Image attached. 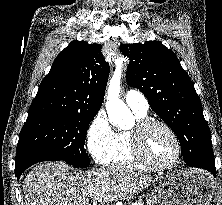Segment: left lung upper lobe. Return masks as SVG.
<instances>
[{
  "label": "left lung upper lobe",
  "mask_w": 222,
  "mask_h": 205,
  "mask_svg": "<svg viewBox=\"0 0 222 205\" xmlns=\"http://www.w3.org/2000/svg\"><path fill=\"white\" fill-rule=\"evenodd\" d=\"M120 50L130 60L128 84L143 92L153 111L176 133L182 155L214 162L201 100L174 52L159 41L122 44Z\"/></svg>",
  "instance_id": "1"
}]
</instances>
